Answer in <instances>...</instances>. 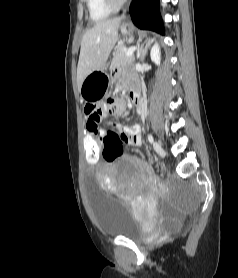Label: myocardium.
Listing matches in <instances>:
<instances>
[{"label":"myocardium","instance_id":"f54148a6","mask_svg":"<svg viewBox=\"0 0 238 278\" xmlns=\"http://www.w3.org/2000/svg\"><path fill=\"white\" fill-rule=\"evenodd\" d=\"M103 2L109 10L114 11L122 7L126 0H103Z\"/></svg>","mask_w":238,"mask_h":278}]
</instances>
